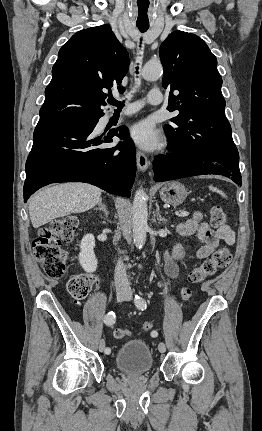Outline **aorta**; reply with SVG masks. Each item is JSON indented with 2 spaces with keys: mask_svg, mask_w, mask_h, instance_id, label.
<instances>
[{
  "mask_svg": "<svg viewBox=\"0 0 262 431\" xmlns=\"http://www.w3.org/2000/svg\"><path fill=\"white\" fill-rule=\"evenodd\" d=\"M163 72V67L159 62H148L144 65L141 75L147 81L158 79ZM133 239L136 248L142 249L148 232V211L146 203V193L143 189H138L135 193L132 206Z\"/></svg>",
  "mask_w": 262,
  "mask_h": 431,
  "instance_id": "aorta-1",
  "label": "aorta"
}]
</instances>
